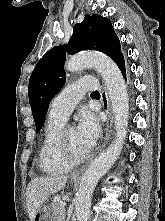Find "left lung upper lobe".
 <instances>
[{
  "label": "left lung upper lobe",
  "mask_w": 165,
  "mask_h": 221,
  "mask_svg": "<svg viewBox=\"0 0 165 221\" xmlns=\"http://www.w3.org/2000/svg\"><path fill=\"white\" fill-rule=\"evenodd\" d=\"M97 50L108 55L115 63L123 57L118 37L111 21L98 14L86 15L77 23L67 45L50 49L35 66L29 80V103L37 131L44 123L50 101L65 84L64 62L66 52Z\"/></svg>",
  "instance_id": "left-lung-upper-lobe-1"
}]
</instances>
